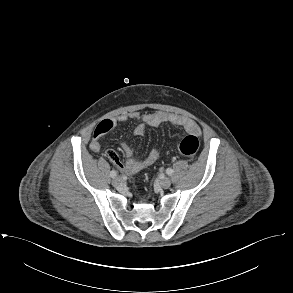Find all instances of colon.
Masks as SVG:
<instances>
[{
    "label": "colon",
    "instance_id": "1",
    "mask_svg": "<svg viewBox=\"0 0 293 293\" xmlns=\"http://www.w3.org/2000/svg\"><path fill=\"white\" fill-rule=\"evenodd\" d=\"M200 146V141L195 135H188L184 137L177 145L176 150L184 156H194Z\"/></svg>",
    "mask_w": 293,
    "mask_h": 293
}]
</instances>
